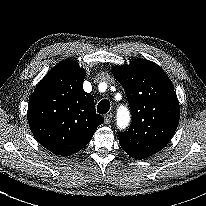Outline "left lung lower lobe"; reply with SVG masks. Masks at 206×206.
Wrapping results in <instances>:
<instances>
[{
	"instance_id": "0a47b994",
	"label": "left lung lower lobe",
	"mask_w": 206,
	"mask_h": 206,
	"mask_svg": "<svg viewBox=\"0 0 206 206\" xmlns=\"http://www.w3.org/2000/svg\"><path fill=\"white\" fill-rule=\"evenodd\" d=\"M125 152L130 155L131 157L133 158H136V159H143L145 157H142L141 155L137 154L136 152H132V151H128V150H125Z\"/></svg>"
}]
</instances>
